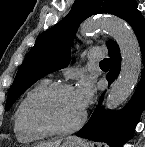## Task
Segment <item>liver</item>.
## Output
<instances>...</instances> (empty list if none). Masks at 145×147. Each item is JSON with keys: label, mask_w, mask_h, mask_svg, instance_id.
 Here are the masks:
<instances>
[{"label": "liver", "mask_w": 145, "mask_h": 147, "mask_svg": "<svg viewBox=\"0 0 145 147\" xmlns=\"http://www.w3.org/2000/svg\"><path fill=\"white\" fill-rule=\"evenodd\" d=\"M60 143H61L60 140L54 142H42L38 144L37 147H59Z\"/></svg>", "instance_id": "6515ba94"}]
</instances>
